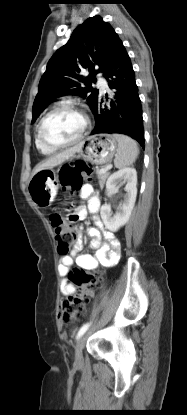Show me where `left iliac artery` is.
I'll list each match as a JSON object with an SVG mask.
<instances>
[{
    "mask_svg": "<svg viewBox=\"0 0 187 415\" xmlns=\"http://www.w3.org/2000/svg\"><path fill=\"white\" fill-rule=\"evenodd\" d=\"M90 324L91 323H85L81 328H80V330L78 331V334H77V339L78 338H80L86 331H87V329L89 328V326H90Z\"/></svg>",
    "mask_w": 187,
    "mask_h": 415,
    "instance_id": "left-iliac-artery-1",
    "label": "left iliac artery"
}]
</instances>
